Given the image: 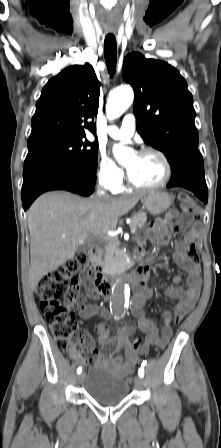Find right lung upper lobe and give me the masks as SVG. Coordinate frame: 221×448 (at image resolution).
I'll list each match as a JSON object with an SVG mask.
<instances>
[{
    "mask_svg": "<svg viewBox=\"0 0 221 448\" xmlns=\"http://www.w3.org/2000/svg\"><path fill=\"white\" fill-rule=\"evenodd\" d=\"M100 82L90 64L73 65L44 86L32 118L28 148L44 143L95 133Z\"/></svg>",
    "mask_w": 221,
    "mask_h": 448,
    "instance_id": "obj_1",
    "label": "right lung upper lobe"
}]
</instances>
